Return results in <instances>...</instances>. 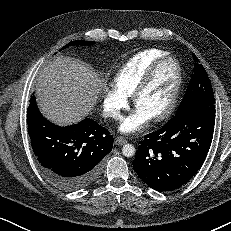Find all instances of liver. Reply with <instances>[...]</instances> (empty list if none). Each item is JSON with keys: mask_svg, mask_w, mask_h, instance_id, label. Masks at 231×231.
<instances>
[{"mask_svg": "<svg viewBox=\"0 0 231 231\" xmlns=\"http://www.w3.org/2000/svg\"><path fill=\"white\" fill-rule=\"evenodd\" d=\"M101 86L98 75L83 62L60 56L40 69L35 90L43 115L58 125H70L93 109Z\"/></svg>", "mask_w": 231, "mask_h": 231, "instance_id": "liver-1", "label": "liver"}]
</instances>
